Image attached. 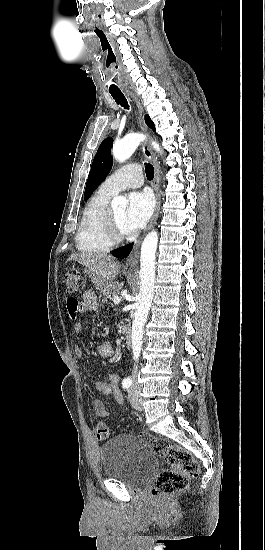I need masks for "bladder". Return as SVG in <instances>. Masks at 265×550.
<instances>
[{
  "instance_id": "1",
  "label": "bladder",
  "mask_w": 265,
  "mask_h": 550,
  "mask_svg": "<svg viewBox=\"0 0 265 550\" xmlns=\"http://www.w3.org/2000/svg\"><path fill=\"white\" fill-rule=\"evenodd\" d=\"M158 457L131 434L115 436L100 447L103 474L130 486H138L155 471Z\"/></svg>"
}]
</instances>
